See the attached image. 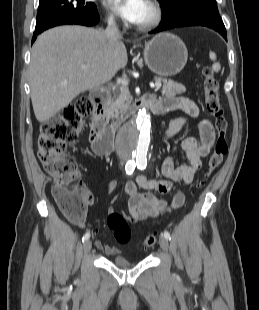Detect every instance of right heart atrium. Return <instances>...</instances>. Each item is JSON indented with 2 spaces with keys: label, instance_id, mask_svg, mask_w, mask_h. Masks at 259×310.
I'll use <instances>...</instances> for the list:
<instances>
[{
  "label": "right heart atrium",
  "instance_id": "obj_1",
  "mask_svg": "<svg viewBox=\"0 0 259 310\" xmlns=\"http://www.w3.org/2000/svg\"><path fill=\"white\" fill-rule=\"evenodd\" d=\"M106 19L110 25H113L115 23V19L112 15H107Z\"/></svg>",
  "mask_w": 259,
  "mask_h": 310
}]
</instances>
